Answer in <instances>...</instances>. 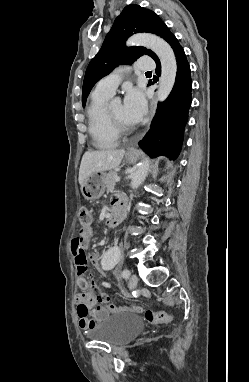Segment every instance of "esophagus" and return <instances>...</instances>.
Masks as SVG:
<instances>
[{
  "label": "esophagus",
  "instance_id": "34e87169",
  "mask_svg": "<svg viewBox=\"0 0 249 382\" xmlns=\"http://www.w3.org/2000/svg\"><path fill=\"white\" fill-rule=\"evenodd\" d=\"M154 114H155V101L152 100L150 104V118H153ZM129 153L134 154L136 153V151L134 149H130Z\"/></svg>",
  "mask_w": 249,
  "mask_h": 382
}]
</instances>
